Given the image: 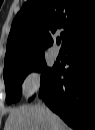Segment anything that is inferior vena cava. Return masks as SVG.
Segmentation results:
<instances>
[{
    "label": "inferior vena cava",
    "mask_w": 95,
    "mask_h": 130,
    "mask_svg": "<svg viewBox=\"0 0 95 130\" xmlns=\"http://www.w3.org/2000/svg\"><path fill=\"white\" fill-rule=\"evenodd\" d=\"M44 107H45V109H46L47 112H50V110L45 105H44Z\"/></svg>",
    "instance_id": "inferior-vena-cava-1"
}]
</instances>
